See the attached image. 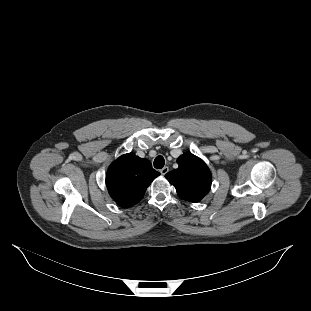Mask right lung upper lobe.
Listing matches in <instances>:
<instances>
[{"mask_svg":"<svg viewBox=\"0 0 311 311\" xmlns=\"http://www.w3.org/2000/svg\"><path fill=\"white\" fill-rule=\"evenodd\" d=\"M160 173L151 162L129 153L113 162L106 175V185L112 199L121 207L138 203L151 182Z\"/></svg>","mask_w":311,"mask_h":311,"instance_id":"1","label":"right lung upper lobe"}]
</instances>
